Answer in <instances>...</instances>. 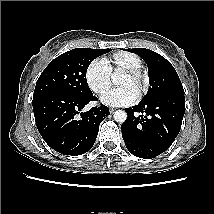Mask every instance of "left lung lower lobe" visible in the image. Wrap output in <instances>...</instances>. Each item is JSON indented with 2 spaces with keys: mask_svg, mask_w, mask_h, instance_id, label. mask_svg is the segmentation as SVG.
I'll list each match as a JSON object with an SVG mask.
<instances>
[{
  "mask_svg": "<svg viewBox=\"0 0 214 214\" xmlns=\"http://www.w3.org/2000/svg\"><path fill=\"white\" fill-rule=\"evenodd\" d=\"M126 112L128 119L121 130L128 151L151 159L165 152L177 137L185 113V97L179 94L157 97L127 108Z\"/></svg>",
  "mask_w": 214,
  "mask_h": 214,
  "instance_id": "0a47b994",
  "label": "left lung lower lobe"
}]
</instances>
